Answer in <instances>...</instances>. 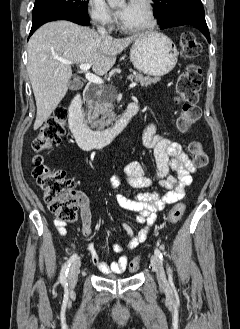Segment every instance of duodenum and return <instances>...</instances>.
<instances>
[{"label": "duodenum", "mask_w": 240, "mask_h": 329, "mask_svg": "<svg viewBox=\"0 0 240 329\" xmlns=\"http://www.w3.org/2000/svg\"><path fill=\"white\" fill-rule=\"evenodd\" d=\"M138 109L137 102H130L112 125L103 130H91L83 119L81 97L75 94L69 104L70 131L83 150L91 151L114 140L126 128Z\"/></svg>", "instance_id": "1"}]
</instances>
